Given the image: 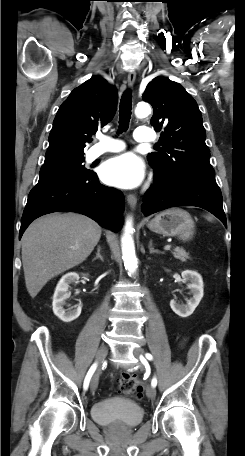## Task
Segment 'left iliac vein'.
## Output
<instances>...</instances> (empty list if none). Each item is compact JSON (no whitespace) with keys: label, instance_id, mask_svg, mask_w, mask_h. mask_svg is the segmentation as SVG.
I'll return each mask as SVG.
<instances>
[{"label":"left iliac vein","instance_id":"obj_1","mask_svg":"<svg viewBox=\"0 0 245 456\" xmlns=\"http://www.w3.org/2000/svg\"><path fill=\"white\" fill-rule=\"evenodd\" d=\"M144 353L143 349L142 348H136L134 349L133 351V354L136 358H140V360L142 361L141 357H142V354ZM144 360V359H143ZM146 395L153 399L155 396H156V390L155 388L152 386V385H149L146 389Z\"/></svg>","mask_w":245,"mask_h":456}]
</instances>
